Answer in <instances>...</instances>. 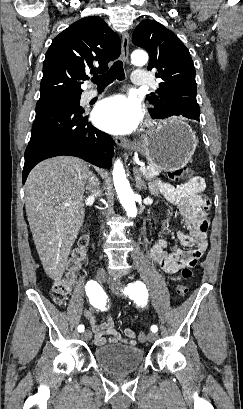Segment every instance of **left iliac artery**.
<instances>
[{
	"label": "left iliac artery",
	"instance_id": "1",
	"mask_svg": "<svg viewBox=\"0 0 243 409\" xmlns=\"http://www.w3.org/2000/svg\"><path fill=\"white\" fill-rule=\"evenodd\" d=\"M124 293L127 294L131 299L140 300L146 297L147 290L142 282L129 283L125 288ZM158 327L156 325L151 326L152 332H157Z\"/></svg>",
	"mask_w": 243,
	"mask_h": 409
}]
</instances>
